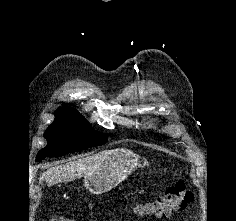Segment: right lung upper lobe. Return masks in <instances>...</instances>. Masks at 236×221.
<instances>
[{"label":"right lung upper lobe","instance_id":"1","mask_svg":"<svg viewBox=\"0 0 236 221\" xmlns=\"http://www.w3.org/2000/svg\"><path fill=\"white\" fill-rule=\"evenodd\" d=\"M60 108H67V109H72V108H68V107H60ZM72 110H74V109H72Z\"/></svg>","mask_w":236,"mask_h":221}]
</instances>
